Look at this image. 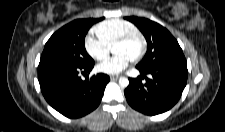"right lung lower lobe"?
Masks as SVG:
<instances>
[{"instance_id": "obj_1", "label": "right lung lower lobe", "mask_w": 225, "mask_h": 132, "mask_svg": "<svg viewBox=\"0 0 225 132\" xmlns=\"http://www.w3.org/2000/svg\"><path fill=\"white\" fill-rule=\"evenodd\" d=\"M94 66L79 67L58 62H40L38 80L46 101L69 118H79L100 104L110 78L97 74L82 80L79 73H89Z\"/></svg>"}]
</instances>
